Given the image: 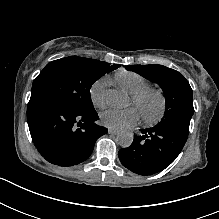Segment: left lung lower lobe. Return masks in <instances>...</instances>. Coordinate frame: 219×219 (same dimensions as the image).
<instances>
[{"mask_svg": "<svg viewBox=\"0 0 219 219\" xmlns=\"http://www.w3.org/2000/svg\"><path fill=\"white\" fill-rule=\"evenodd\" d=\"M131 146L119 150L124 167L139 175H152L163 171L183 149L189 130L180 126L156 125L141 129Z\"/></svg>", "mask_w": 219, "mask_h": 219, "instance_id": "1", "label": "left lung lower lobe"}]
</instances>
